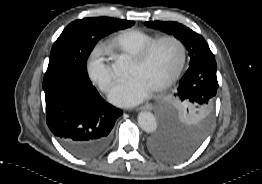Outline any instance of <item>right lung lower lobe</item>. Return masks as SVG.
<instances>
[{
  "label": "right lung lower lobe",
  "mask_w": 262,
  "mask_h": 184,
  "mask_svg": "<svg viewBox=\"0 0 262 184\" xmlns=\"http://www.w3.org/2000/svg\"><path fill=\"white\" fill-rule=\"evenodd\" d=\"M43 90L47 124L62 146L82 159L104 152L122 110L105 102L90 80L78 75L43 80Z\"/></svg>",
  "instance_id": "1"
}]
</instances>
